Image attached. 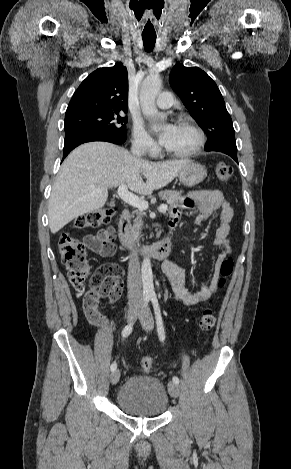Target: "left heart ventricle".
Segmentation results:
<instances>
[{
  "label": "left heart ventricle",
  "instance_id": "1",
  "mask_svg": "<svg viewBox=\"0 0 291 469\" xmlns=\"http://www.w3.org/2000/svg\"><path fill=\"white\" fill-rule=\"evenodd\" d=\"M195 142L196 135L194 131L187 125L177 124L171 139L164 146L171 151L183 152L192 148Z\"/></svg>",
  "mask_w": 291,
  "mask_h": 469
}]
</instances>
